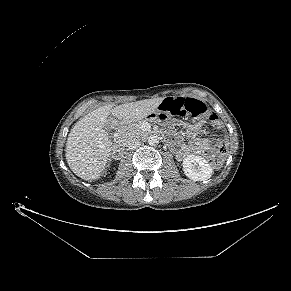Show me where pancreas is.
Returning a JSON list of instances; mask_svg holds the SVG:
<instances>
[{
  "instance_id": "pancreas-1",
  "label": "pancreas",
  "mask_w": 291,
  "mask_h": 291,
  "mask_svg": "<svg viewBox=\"0 0 291 291\" xmlns=\"http://www.w3.org/2000/svg\"><path fill=\"white\" fill-rule=\"evenodd\" d=\"M142 123H130L128 125H125L121 127L120 129V135L123 138L124 141H126L131 136H139L144 133V131L141 128Z\"/></svg>"
}]
</instances>
